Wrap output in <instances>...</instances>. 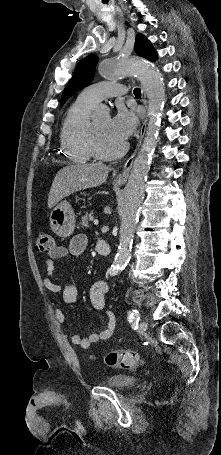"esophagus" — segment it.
Masks as SVG:
<instances>
[{
	"mask_svg": "<svg viewBox=\"0 0 221 455\" xmlns=\"http://www.w3.org/2000/svg\"><path fill=\"white\" fill-rule=\"evenodd\" d=\"M142 95H143V103H144V106H145V109H146L147 108V100L145 98V93L143 92V90H142ZM146 123H147V116H145L143 124H142L141 129H140V140H139L138 147L140 146V144L142 142V139L144 137V134H145V131H146ZM136 153H137V151H135L131 155V157L125 162L123 171L114 178L115 182H117L119 184H122V183H125L127 181V178L129 176L130 169H131V167L133 165Z\"/></svg>",
	"mask_w": 221,
	"mask_h": 455,
	"instance_id": "1",
	"label": "esophagus"
}]
</instances>
